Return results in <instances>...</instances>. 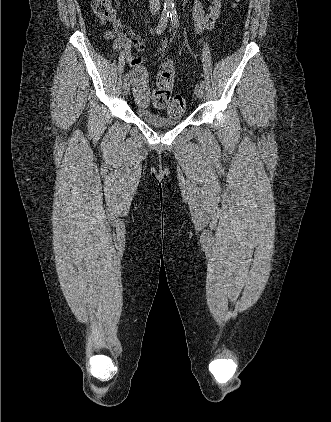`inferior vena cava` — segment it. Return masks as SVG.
Returning a JSON list of instances; mask_svg holds the SVG:
<instances>
[{
  "instance_id": "1",
  "label": "inferior vena cava",
  "mask_w": 331,
  "mask_h": 422,
  "mask_svg": "<svg viewBox=\"0 0 331 422\" xmlns=\"http://www.w3.org/2000/svg\"><path fill=\"white\" fill-rule=\"evenodd\" d=\"M149 3L152 11L156 12L159 10L160 0H149Z\"/></svg>"
}]
</instances>
